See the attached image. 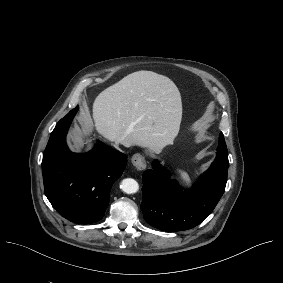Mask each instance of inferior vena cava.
I'll return each mask as SVG.
<instances>
[{"label":"inferior vena cava","instance_id":"1","mask_svg":"<svg viewBox=\"0 0 283 283\" xmlns=\"http://www.w3.org/2000/svg\"><path fill=\"white\" fill-rule=\"evenodd\" d=\"M117 150L122 151L119 147L115 146Z\"/></svg>","mask_w":283,"mask_h":283}]
</instances>
